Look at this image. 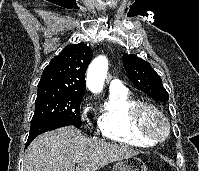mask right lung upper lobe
I'll list each match as a JSON object with an SVG mask.
<instances>
[{
  "label": "right lung upper lobe",
  "mask_w": 199,
  "mask_h": 171,
  "mask_svg": "<svg viewBox=\"0 0 199 171\" xmlns=\"http://www.w3.org/2000/svg\"><path fill=\"white\" fill-rule=\"evenodd\" d=\"M93 51L84 43L66 46L44 69L38 88H53L85 94V72Z\"/></svg>",
  "instance_id": "cb5924a9"
}]
</instances>
